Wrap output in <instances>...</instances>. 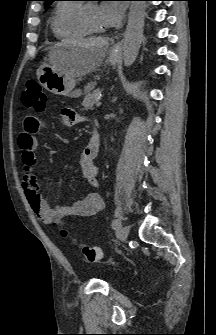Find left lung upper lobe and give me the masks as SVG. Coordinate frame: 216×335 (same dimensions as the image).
I'll list each match as a JSON object with an SVG mask.
<instances>
[{
	"instance_id": "1",
	"label": "left lung upper lobe",
	"mask_w": 216,
	"mask_h": 335,
	"mask_svg": "<svg viewBox=\"0 0 216 335\" xmlns=\"http://www.w3.org/2000/svg\"><path fill=\"white\" fill-rule=\"evenodd\" d=\"M42 1H45V2H46V7H47L50 3H52V2L55 1V0H42Z\"/></svg>"
}]
</instances>
